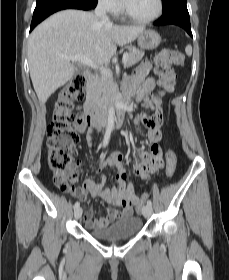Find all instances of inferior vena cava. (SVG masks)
I'll list each match as a JSON object with an SVG mask.
<instances>
[{"mask_svg":"<svg viewBox=\"0 0 229 280\" xmlns=\"http://www.w3.org/2000/svg\"><path fill=\"white\" fill-rule=\"evenodd\" d=\"M107 4L104 0H99L97 7L95 8V15L104 23H111L107 14Z\"/></svg>","mask_w":229,"mask_h":280,"instance_id":"1","label":"inferior vena cava"}]
</instances>
